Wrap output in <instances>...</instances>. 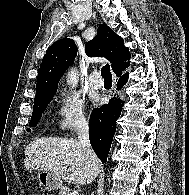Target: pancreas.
<instances>
[{
	"mask_svg": "<svg viewBox=\"0 0 189 195\" xmlns=\"http://www.w3.org/2000/svg\"><path fill=\"white\" fill-rule=\"evenodd\" d=\"M69 192H70V189L68 187L62 186L59 189L58 195H68Z\"/></svg>",
	"mask_w": 189,
	"mask_h": 195,
	"instance_id": "cf45deb5",
	"label": "pancreas"
}]
</instances>
